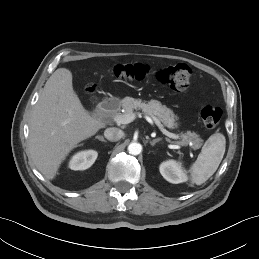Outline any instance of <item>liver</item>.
I'll return each instance as SVG.
<instances>
[{
  "label": "liver",
  "mask_w": 259,
  "mask_h": 259,
  "mask_svg": "<svg viewBox=\"0 0 259 259\" xmlns=\"http://www.w3.org/2000/svg\"><path fill=\"white\" fill-rule=\"evenodd\" d=\"M105 126L81 104L71 71L59 68L47 80L31 115V159L43 176L52 180L70 151Z\"/></svg>",
  "instance_id": "obj_1"
}]
</instances>
